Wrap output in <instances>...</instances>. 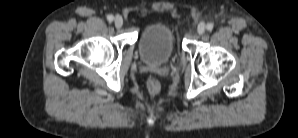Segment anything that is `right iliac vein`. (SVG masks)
Instances as JSON below:
<instances>
[{"label":"right iliac vein","instance_id":"obj_1","mask_svg":"<svg viewBox=\"0 0 298 138\" xmlns=\"http://www.w3.org/2000/svg\"><path fill=\"white\" fill-rule=\"evenodd\" d=\"M114 24L117 28H121L123 25V18L121 16H116L114 19Z\"/></svg>","mask_w":298,"mask_h":138}]
</instances>
